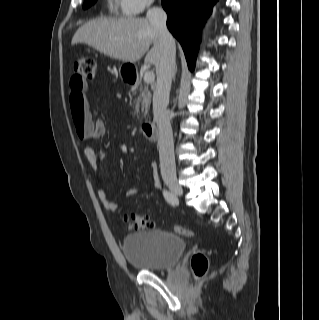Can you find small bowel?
<instances>
[{
	"mask_svg": "<svg viewBox=\"0 0 319 320\" xmlns=\"http://www.w3.org/2000/svg\"><path fill=\"white\" fill-rule=\"evenodd\" d=\"M86 90V82L80 81L77 77L74 76L70 79L71 112L72 115L74 113L83 114L93 128L94 138H98L105 133L106 125L101 119H92L91 113L89 111L88 101L85 95ZM84 156L87 159L91 170L95 173L96 182L100 183L101 179L100 177L96 176V172L100 163L103 161L105 154L103 152H97L92 146H87L84 148ZM150 167L154 171V165L151 164ZM154 184L156 187L161 186L160 180L157 176H154ZM138 192L139 191L136 188L129 189L125 192V197L132 198L137 195ZM97 197L106 210L112 212L118 208V204L109 198V194L105 189H99L97 192Z\"/></svg>",
	"mask_w": 319,
	"mask_h": 320,
	"instance_id": "c3829d8e",
	"label": "small bowel"
}]
</instances>
